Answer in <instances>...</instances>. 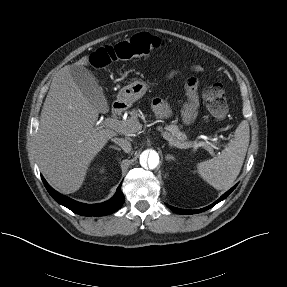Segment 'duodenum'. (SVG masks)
<instances>
[{
	"label": "duodenum",
	"instance_id": "obj_1",
	"mask_svg": "<svg viewBox=\"0 0 287 287\" xmlns=\"http://www.w3.org/2000/svg\"><path fill=\"white\" fill-rule=\"evenodd\" d=\"M125 108H126V105L123 101L116 100L112 104L111 112L113 115H119L120 113H122L124 111Z\"/></svg>",
	"mask_w": 287,
	"mask_h": 287
}]
</instances>
